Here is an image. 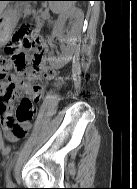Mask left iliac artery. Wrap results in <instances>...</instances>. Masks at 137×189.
<instances>
[{
    "label": "left iliac artery",
    "instance_id": "1",
    "mask_svg": "<svg viewBox=\"0 0 137 189\" xmlns=\"http://www.w3.org/2000/svg\"><path fill=\"white\" fill-rule=\"evenodd\" d=\"M13 162H14V159L11 160V162H10V164H9L7 170H6L5 179H6V183L8 184V186H13L14 185L13 182L11 181V179H10V169H11V166H12Z\"/></svg>",
    "mask_w": 137,
    "mask_h": 189
}]
</instances>
